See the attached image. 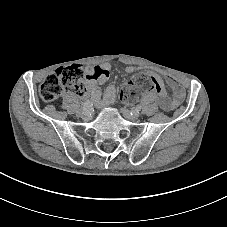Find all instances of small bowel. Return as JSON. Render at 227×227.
<instances>
[{"mask_svg":"<svg viewBox=\"0 0 227 227\" xmlns=\"http://www.w3.org/2000/svg\"><path fill=\"white\" fill-rule=\"evenodd\" d=\"M136 66H128L125 68L126 73H133L137 71ZM110 75V64L103 63L97 66L89 67L85 71V88L82 94H87L90 102L96 107L102 108L115 101L116 98V87L114 85H108L104 91L101 93L99 85L104 84ZM168 85L172 90L173 97L169 98L167 94H160L158 101L161 108L165 111H171L176 108L184 98V89L178 83V81L170 74L164 75ZM159 83L161 81L157 78ZM155 96L152 93L147 95V99H153Z\"/></svg>","mask_w":227,"mask_h":227,"instance_id":"obj_1","label":"small bowel"}]
</instances>
